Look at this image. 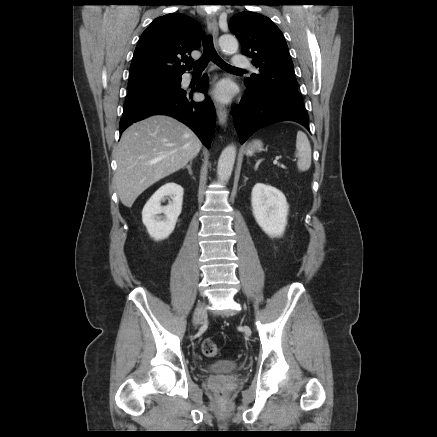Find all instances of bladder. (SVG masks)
Segmentation results:
<instances>
[{
  "label": "bladder",
  "mask_w": 437,
  "mask_h": 437,
  "mask_svg": "<svg viewBox=\"0 0 437 437\" xmlns=\"http://www.w3.org/2000/svg\"><path fill=\"white\" fill-rule=\"evenodd\" d=\"M240 369V364L231 359L218 360L205 366L208 373H232Z\"/></svg>",
  "instance_id": "31cf9c89"
}]
</instances>
